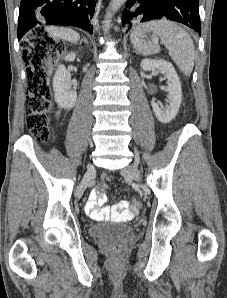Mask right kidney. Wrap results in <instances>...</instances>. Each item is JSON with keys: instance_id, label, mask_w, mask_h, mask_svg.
<instances>
[{"instance_id": "right-kidney-1", "label": "right kidney", "mask_w": 227, "mask_h": 298, "mask_svg": "<svg viewBox=\"0 0 227 298\" xmlns=\"http://www.w3.org/2000/svg\"><path fill=\"white\" fill-rule=\"evenodd\" d=\"M74 52L67 54L64 59L73 61ZM54 97L57 104L64 109H72L77 100V93L71 89V75L64 65H59L53 78Z\"/></svg>"}]
</instances>
